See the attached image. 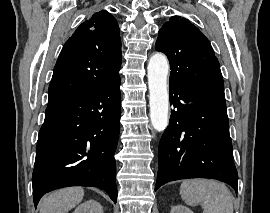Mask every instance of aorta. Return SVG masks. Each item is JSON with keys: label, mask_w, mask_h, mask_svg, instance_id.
Here are the masks:
<instances>
[{"label": "aorta", "mask_w": 270, "mask_h": 213, "mask_svg": "<svg viewBox=\"0 0 270 213\" xmlns=\"http://www.w3.org/2000/svg\"><path fill=\"white\" fill-rule=\"evenodd\" d=\"M169 63L162 53L154 54L148 64L150 119L153 128L164 131L168 126L169 94L167 76Z\"/></svg>", "instance_id": "1"}]
</instances>
